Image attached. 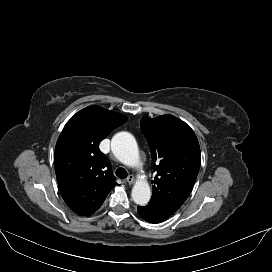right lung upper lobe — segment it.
Here are the masks:
<instances>
[{
	"instance_id": "right-lung-upper-lobe-1",
	"label": "right lung upper lobe",
	"mask_w": 272,
	"mask_h": 272,
	"mask_svg": "<svg viewBox=\"0 0 272 272\" xmlns=\"http://www.w3.org/2000/svg\"><path fill=\"white\" fill-rule=\"evenodd\" d=\"M126 120L123 114L93 105L76 113L60 134L56 178L64 201L78 215L94 213L117 185L99 143Z\"/></svg>"
}]
</instances>
